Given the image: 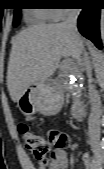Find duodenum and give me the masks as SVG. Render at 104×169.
Segmentation results:
<instances>
[{"instance_id":"1","label":"duodenum","mask_w":104,"mask_h":169,"mask_svg":"<svg viewBox=\"0 0 104 169\" xmlns=\"http://www.w3.org/2000/svg\"><path fill=\"white\" fill-rule=\"evenodd\" d=\"M72 110L75 120H80L83 117L84 107L82 104H75Z\"/></svg>"}]
</instances>
